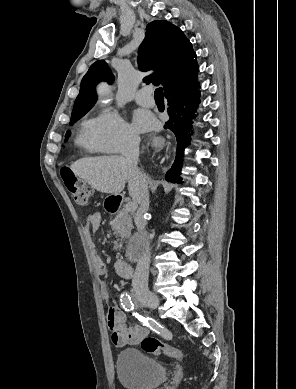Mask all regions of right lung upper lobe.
<instances>
[{"label":"right lung upper lobe","mask_w":296,"mask_h":389,"mask_svg":"<svg viewBox=\"0 0 296 389\" xmlns=\"http://www.w3.org/2000/svg\"><path fill=\"white\" fill-rule=\"evenodd\" d=\"M195 58L190 41L178 27L162 20L147 25L138 63L142 71L154 70V73L143 79L145 83L162 84L164 92L175 84L198 83L199 68ZM101 80L113 81L111 70L103 60L93 63L83 77L72 113L95 104V86Z\"/></svg>","instance_id":"right-lung-upper-lobe-1"}]
</instances>
